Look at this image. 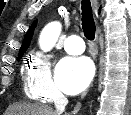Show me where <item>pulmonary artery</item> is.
<instances>
[{
  "instance_id": "obj_1",
  "label": "pulmonary artery",
  "mask_w": 131,
  "mask_h": 115,
  "mask_svg": "<svg viewBox=\"0 0 131 115\" xmlns=\"http://www.w3.org/2000/svg\"><path fill=\"white\" fill-rule=\"evenodd\" d=\"M64 48L71 55H78L84 52V42L78 35H70L64 42Z\"/></svg>"
}]
</instances>
